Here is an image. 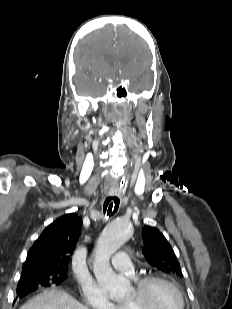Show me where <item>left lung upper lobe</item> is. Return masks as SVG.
Here are the masks:
<instances>
[{
  "label": "left lung upper lobe",
  "mask_w": 232,
  "mask_h": 309,
  "mask_svg": "<svg viewBox=\"0 0 232 309\" xmlns=\"http://www.w3.org/2000/svg\"><path fill=\"white\" fill-rule=\"evenodd\" d=\"M144 247L142 252L148 263L165 273L183 277L180 263L169 242L156 228L146 226L142 230Z\"/></svg>",
  "instance_id": "left-lung-upper-lobe-1"
}]
</instances>
